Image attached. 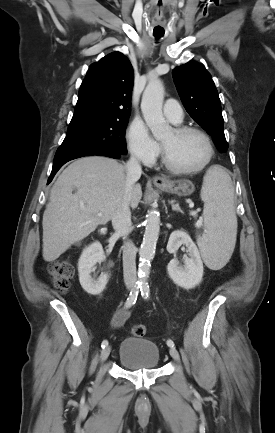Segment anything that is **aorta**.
<instances>
[{
    "mask_svg": "<svg viewBox=\"0 0 275 433\" xmlns=\"http://www.w3.org/2000/svg\"><path fill=\"white\" fill-rule=\"evenodd\" d=\"M164 87L159 79H151L142 96L141 111L147 126L155 138H161L170 128L162 113ZM160 232V217L156 209L148 211L145 220V232L139 249L140 264L138 282L146 287L150 274V262L154 258Z\"/></svg>",
    "mask_w": 275,
    "mask_h": 433,
    "instance_id": "1",
    "label": "aorta"
}]
</instances>
